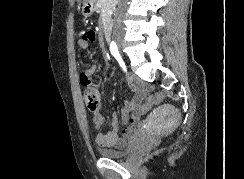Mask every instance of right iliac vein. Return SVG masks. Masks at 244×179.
I'll list each match as a JSON object with an SVG mask.
<instances>
[{
	"label": "right iliac vein",
	"instance_id": "63e3f726",
	"mask_svg": "<svg viewBox=\"0 0 244 179\" xmlns=\"http://www.w3.org/2000/svg\"><path fill=\"white\" fill-rule=\"evenodd\" d=\"M118 47H122V43L121 42L118 43Z\"/></svg>",
	"mask_w": 244,
	"mask_h": 179
}]
</instances>
